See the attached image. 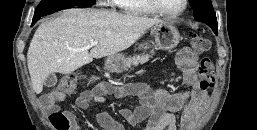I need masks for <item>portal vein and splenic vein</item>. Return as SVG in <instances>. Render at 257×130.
<instances>
[{
  "label": "portal vein and splenic vein",
  "instance_id": "18ae733b",
  "mask_svg": "<svg viewBox=\"0 0 257 130\" xmlns=\"http://www.w3.org/2000/svg\"><path fill=\"white\" fill-rule=\"evenodd\" d=\"M97 44H98V41H91L90 44L87 47H85V50H88L89 48L96 46Z\"/></svg>",
  "mask_w": 257,
  "mask_h": 130
}]
</instances>
